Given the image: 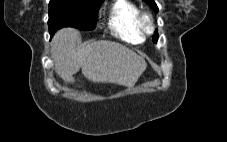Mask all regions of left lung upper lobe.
I'll use <instances>...</instances> for the list:
<instances>
[{
	"label": "left lung upper lobe",
	"instance_id": "1",
	"mask_svg": "<svg viewBox=\"0 0 227 142\" xmlns=\"http://www.w3.org/2000/svg\"><path fill=\"white\" fill-rule=\"evenodd\" d=\"M151 8H153L156 12H158V7L153 0H144ZM154 42L158 40V34L156 33L153 37Z\"/></svg>",
	"mask_w": 227,
	"mask_h": 142
}]
</instances>
